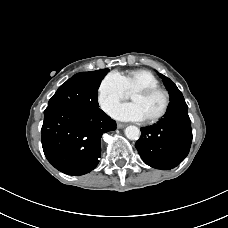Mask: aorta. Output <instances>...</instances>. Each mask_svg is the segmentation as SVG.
Instances as JSON below:
<instances>
[{
	"instance_id": "aorta-1",
	"label": "aorta",
	"mask_w": 228,
	"mask_h": 228,
	"mask_svg": "<svg viewBox=\"0 0 228 228\" xmlns=\"http://www.w3.org/2000/svg\"><path fill=\"white\" fill-rule=\"evenodd\" d=\"M124 133L129 140H138L140 137V129L136 126L126 127Z\"/></svg>"
}]
</instances>
